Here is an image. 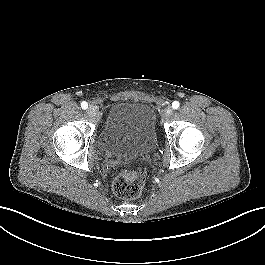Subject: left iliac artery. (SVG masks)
<instances>
[{"mask_svg":"<svg viewBox=\"0 0 265 265\" xmlns=\"http://www.w3.org/2000/svg\"><path fill=\"white\" fill-rule=\"evenodd\" d=\"M179 106H180V103H179L178 101H174V102L172 103V108H173V109H178Z\"/></svg>","mask_w":265,"mask_h":265,"instance_id":"obj_1","label":"left iliac artery"}]
</instances>
